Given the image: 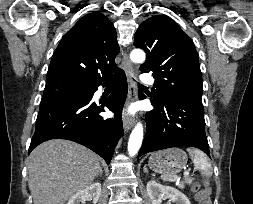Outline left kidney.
<instances>
[{
  "instance_id": "left-kidney-1",
  "label": "left kidney",
  "mask_w": 253,
  "mask_h": 204,
  "mask_svg": "<svg viewBox=\"0 0 253 204\" xmlns=\"http://www.w3.org/2000/svg\"><path fill=\"white\" fill-rule=\"evenodd\" d=\"M147 193L152 204H160L165 198H169L170 201L175 202L176 204H191L186 195L177 189L163 186L156 181H149L147 183Z\"/></svg>"
}]
</instances>
